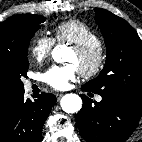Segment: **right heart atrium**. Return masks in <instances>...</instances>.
I'll return each instance as SVG.
<instances>
[{"label": "right heart atrium", "mask_w": 142, "mask_h": 142, "mask_svg": "<svg viewBox=\"0 0 142 142\" xmlns=\"http://www.w3.org/2000/svg\"><path fill=\"white\" fill-rule=\"evenodd\" d=\"M54 39L47 35H37L30 45V54L36 62H42L47 59L52 52Z\"/></svg>", "instance_id": "1"}]
</instances>
